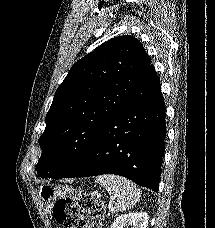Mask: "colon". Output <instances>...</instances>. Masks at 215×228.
Returning <instances> with one entry per match:
<instances>
[{
    "mask_svg": "<svg viewBox=\"0 0 215 228\" xmlns=\"http://www.w3.org/2000/svg\"><path fill=\"white\" fill-rule=\"evenodd\" d=\"M85 212L90 219L80 215ZM105 213V204L98 198L81 194L76 201L61 198L54 202V216L63 228H99L98 219Z\"/></svg>",
    "mask_w": 215,
    "mask_h": 228,
    "instance_id": "obj_1",
    "label": "colon"
}]
</instances>
